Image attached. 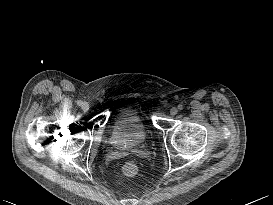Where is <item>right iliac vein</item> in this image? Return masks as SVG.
<instances>
[{
	"label": "right iliac vein",
	"instance_id": "63e3f726",
	"mask_svg": "<svg viewBox=\"0 0 273 205\" xmlns=\"http://www.w3.org/2000/svg\"><path fill=\"white\" fill-rule=\"evenodd\" d=\"M82 109H83L84 111H87V110L89 109V105H88L87 103H83Z\"/></svg>",
	"mask_w": 273,
	"mask_h": 205
}]
</instances>
